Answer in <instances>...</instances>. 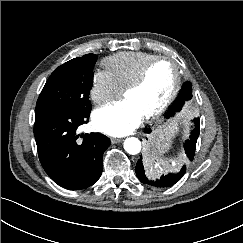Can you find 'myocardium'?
I'll return each mask as SVG.
<instances>
[{
	"label": "myocardium",
	"mask_w": 243,
	"mask_h": 243,
	"mask_svg": "<svg viewBox=\"0 0 243 243\" xmlns=\"http://www.w3.org/2000/svg\"><path fill=\"white\" fill-rule=\"evenodd\" d=\"M160 61H169L173 64L174 69H175V81H174L173 88H172L170 94L168 95V97L166 98V100L156 110H154L153 112L146 115L145 116L146 120H153V119L160 117L162 114H164L168 110V108L172 105V103L176 99V97L179 93L180 87H181V72H180L179 64L176 62V60H174L173 58H171L169 56H157V57L153 58L152 60H150L143 67V69L141 70L139 75L124 88V95H126L129 91H132V90L137 89L140 86H142V84L147 79V76H148L151 68Z\"/></svg>",
	"instance_id": "obj_1"
}]
</instances>
